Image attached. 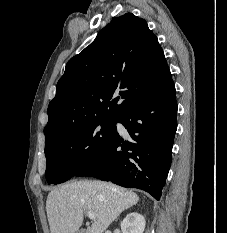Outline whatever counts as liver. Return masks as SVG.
Wrapping results in <instances>:
<instances>
[{
	"mask_svg": "<svg viewBox=\"0 0 227 233\" xmlns=\"http://www.w3.org/2000/svg\"><path fill=\"white\" fill-rule=\"evenodd\" d=\"M136 193L101 181H75L52 190L46 200L51 233H76L84 211L96 219L86 233H103L124 211L137 204Z\"/></svg>",
	"mask_w": 227,
	"mask_h": 233,
	"instance_id": "obj_1",
	"label": "liver"
}]
</instances>
